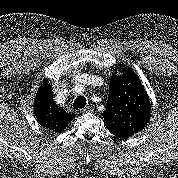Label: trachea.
<instances>
[{"label": "trachea", "mask_w": 178, "mask_h": 178, "mask_svg": "<svg viewBox=\"0 0 178 178\" xmlns=\"http://www.w3.org/2000/svg\"><path fill=\"white\" fill-rule=\"evenodd\" d=\"M86 105V98L84 96H79L75 99L73 107L74 109L84 108Z\"/></svg>", "instance_id": "1"}]
</instances>
